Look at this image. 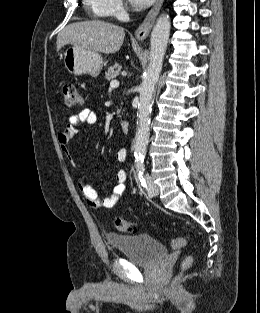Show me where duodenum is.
I'll use <instances>...</instances> for the list:
<instances>
[{"instance_id": "1", "label": "duodenum", "mask_w": 260, "mask_h": 313, "mask_svg": "<svg viewBox=\"0 0 260 313\" xmlns=\"http://www.w3.org/2000/svg\"><path fill=\"white\" fill-rule=\"evenodd\" d=\"M121 127L124 134H128L130 132V125L127 120H123L121 122Z\"/></svg>"}]
</instances>
